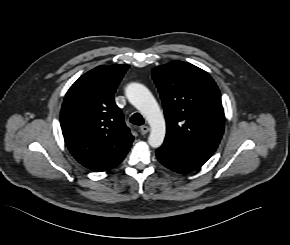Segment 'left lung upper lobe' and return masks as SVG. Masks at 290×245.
Segmentation results:
<instances>
[{"label": "left lung upper lobe", "instance_id": "left-lung-upper-lobe-1", "mask_svg": "<svg viewBox=\"0 0 290 245\" xmlns=\"http://www.w3.org/2000/svg\"><path fill=\"white\" fill-rule=\"evenodd\" d=\"M164 106V144L184 154L208 160L224 131L220 91L204 70L172 61L152 70Z\"/></svg>", "mask_w": 290, "mask_h": 245}]
</instances>
